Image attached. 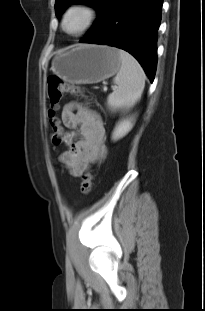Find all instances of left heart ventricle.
<instances>
[{
	"mask_svg": "<svg viewBox=\"0 0 205 311\" xmlns=\"http://www.w3.org/2000/svg\"><path fill=\"white\" fill-rule=\"evenodd\" d=\"M87 15L83 10L77 9L69 13L66 21V29L69 32L80 30L86 23Z\"/></svg>",
	"mask_w": 205,
	"mask_h": 311,
	"instance_id": "b2bd125f",
	"label": "left heart ventricle"
}]
</instances>
